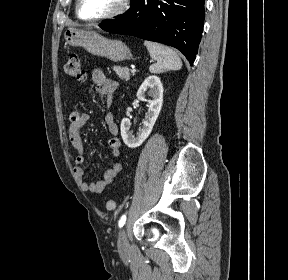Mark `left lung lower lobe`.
I'll list each match as a JSON object with an SVG mask.
<instances>
[{"label": "left lung lower lobe", "instance_id": "0a47b994", "mask_svg": "<svg viewBox=\"0 0 288 280\" xmlns=\"http://www.w3.org/2000/svg\"><path fill=\"white\" fill-rule=\"evenodd\" d=\"M205 0H135L120 17L99 26L180 50L190 64L196 58L204 24Z\"/></svg>", "mask_w": 288, "mask_h": 280}]
</instances>
